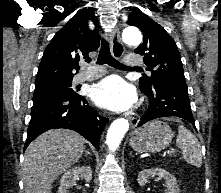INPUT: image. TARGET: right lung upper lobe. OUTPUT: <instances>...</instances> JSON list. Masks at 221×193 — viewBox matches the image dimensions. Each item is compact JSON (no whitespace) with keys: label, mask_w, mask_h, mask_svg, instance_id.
<instances>
[{"label":"right lung upper lobe","mask_w":221,"mask_h":193,"mask_svg":"<svg viewBox=\"0 0 221 193\" xmlns=\"http://www.w3.org/2000/svg\"><path fill=\"white\" fill-rule=\"evenodd\" d=\"M99 42L98 31L88 27V15H74L45 49L35 86L72 81V70L80 60H91L88 54L99 47Z\"/></svg>","instance_id":"cb5924a9"}]
</instances>
